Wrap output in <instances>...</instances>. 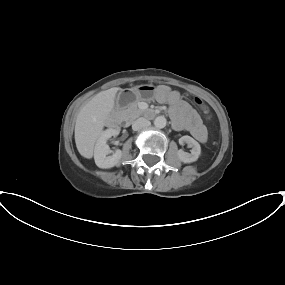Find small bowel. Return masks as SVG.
I'll use <instances>...</instances> for the list:
<instances>
[{"label":"small bowel","mask_w":285,"mask_h":285,"mask_svg":"<svg viewBox=\"0 0 285 285\" xmlns=\"http://www.w3.org/2000/svg\"><path fill=\"white\" fill-rule=\"evenodd\" d=\"M156 99L160 103L170 105V115L176 129L188 131L200 143L206 142L205 126L199 115L182 99L179 92L162 85L156 90Z\"/></svg>","instance_id":"obj_1"}]
</instances>
